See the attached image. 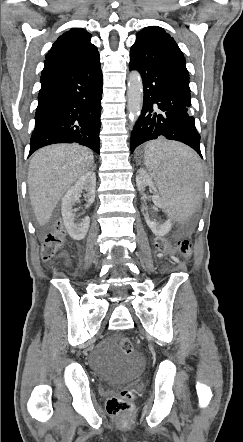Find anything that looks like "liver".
<instances>
[{
	"instance_id": "liver-1",
	"label": "liver",
	"mask_w": 243,
	"mask_h": 442,
	"mask_svg": "<svg viewBox=\"0 0 243 442\" xmlns=\"http://www.w3.org/2000/svg\"><path fill=\"white\" fill-rule=\"evenodd\" d=\"M93 162L92 151L78 144L50 145L33 155L27 184L39 225L48 223L64 193L92 168Z\"/></svg>"
}]
</instances>
